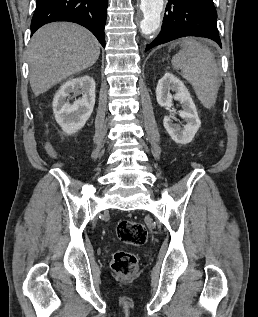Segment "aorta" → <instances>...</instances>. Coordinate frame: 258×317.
Listing matches in <instances>:
<instances>
[{"mask_svg": "<svg viewBox=\"0 0 258 317\" xmlns=\"http://www.w3.org/2000/svg\"><path fill=\"white\" fill-rule=\"evenodd\" d=\"M163 4V0H141L140 9L143 19L140 27L144 35L154 33L159 28Z\"/></svg>", "mask_w": 258, "mask_h": 317, "instance_id": "762f6f07", "label": "aorta"}]
</instances>
